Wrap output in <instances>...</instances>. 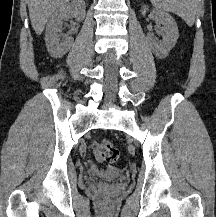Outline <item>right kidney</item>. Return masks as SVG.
Returning <instances> with one entry per match:
<instances>
[{
	"mask_svg": "<svg viewBox=\"0 0 216 217\" xmlns=\"http://www.w3.org/2000/svg\"><path fill=\"white\" fill-rule=\"evenodd\" d=\"M86 15V4L83 0H75L66 3L56 9L50 16L46 27L45 42L47 50L52 57L60 58L70 49L72 38L68 35L62 41L58 39L62 31L63 20L74 17L77 21H83Z\"/></svg>",
	"mask_w": 216,
	"mask_h": 217,
	"instance_id": "right-kidney-1",
	"label": "right kidney"
}]
</instances>
